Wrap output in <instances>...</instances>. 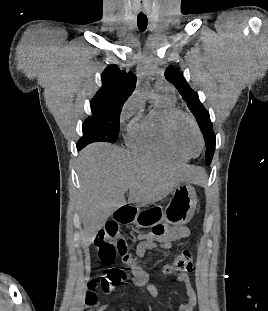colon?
<instances>
[{"mask_svg": "<svg viewBox=\"0 0 268 311\" xmlns=\"http://www.w3.org/2000/svg\"><path fill=\"white\" fill-rule=\"evenodd\" d=\"M119 228L114 222L109 223L101 230L95 238V246L97 248V262L110 265L115 262L117 257H121L123 262L128 263L132 257L128 253L126 240L118 238ZM193 268V253L190 250H184L173 261L164 267V273L171 274L175 272L190 271ZM128 274L121 268H112L106 272L100 279V286L104 292H111L118 287ZM86 293L87 307L84 311H93L92 307L96 304L97 297L95 289L97 284L90 282Z\"/></svg>", "mask_w": 268, "mask_h": 311, "instance_id": "colon-1", "label": "colon"}]
</instances>
